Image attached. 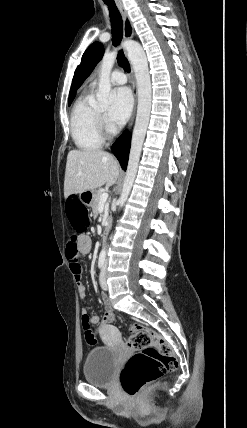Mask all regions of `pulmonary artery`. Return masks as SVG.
<instances>
[{
	"label": "pulmonary artery",
	"mask_w": 247,
	"mask_h": 428,
	"mask_svg": "<svg viewBox=\"0 0 247 428\" xmlns=\"http://www.w3.org/2000/svg\"><path fill=\"white\" fill-rule=\"evenodd\" d=\"M110 82L112 84H115V85H122V84H125L127 82V78H126V75L122 71L115 70L110 75ZM96 83H97V81H94L92 83V86H95Z\"/></svg>",
	"instance_id": "e3ab8cb5"
}]
</instances>
